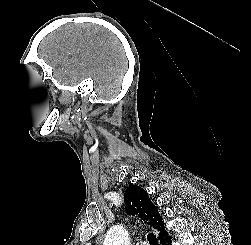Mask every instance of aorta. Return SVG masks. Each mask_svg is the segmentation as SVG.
<instances>
[{
  "label": "aorta",
  "instance_id": "aorta-1",
  "mask_svg": "<svg viewBox=\"0 0 251 245\" xmlns=\"http://www.w3.org/2000/svg\"><path fill=\"white\" fill-rule=\"evenodd\" d=\"M103 245H130L126 229L121 225L112 226L107 232Z\"/></svg>",
  "mask_w": 251,
  "mask_h": 245
}]
</instances>
